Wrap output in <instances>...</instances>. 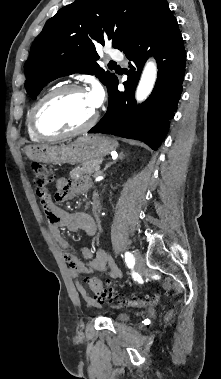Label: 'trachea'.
I'll list each match as a JSON object with an SVG mask.
<instances>
[{
  "label": "trachea",
  "mask_w": 221,
  "mask_h": 379,
  "mask_svg": "<svg viewBox=\"0 0 221 379\" xmlns=\"http://www.w3.org/2000/svg\"><path fill=\"white\" fill-rule=\"evenodd\" d=\"M110 64H116L115 62H111Z\"/></svg>",
  "instance_id": "obj_1"
}]
</instances>
